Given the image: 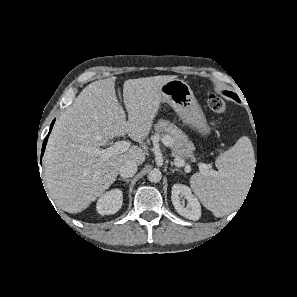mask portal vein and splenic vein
<instances>
[{
    "label": "portal vein and splenic vein",
    "mask_w": 297,
    "mask_h": 297,
    "mask_svg": "<svg viewBox=\"0 0 297 297\" xmlns=\"http://www.w3.org/2000/svg\"><path fill=\"white\" fill-rule=\"evenodd\" d=\"M162 143L166 146L169 147L170 146V142L167 139V136H165L162 139ZM130 147V143L126 142V141H117L115 142L112 146L106 148V149H99V148H95L91 151L92 154L99 156L100 161L104 162L106 161L108 158H110L113 155H117V154H121L125 151H127ZM175 162L181 166L185 167V172L189 173L191 171V166L189 164H185L184 159L182 158H177L175 160ZM198 167L200 169V171L205 172V173H212L211 170H209L211 168L210 165L204 164V163H198Z\"/></svg>",
    "instance_id": "portal-vein-and-splenic-vein-1"
}]
</instances>
